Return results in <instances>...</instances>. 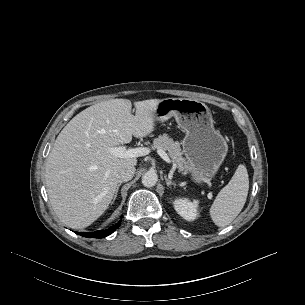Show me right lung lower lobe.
Masks as SVG:
<instances>
[{"mask_svg":"<svg viewBox=\"0 0 305 305\" xmlns=\"http://www.w3.org/2000/svg\"><path fill=\"white\" fill-rule=\"evenodd\" d=\"M121 224V221L116 223L114 226L107 230L95 231V232H82L80 233L81 236L88 237V238H104L111 233H113ZM79 234V233H77Z\"/></svg>","mask_w":305,"mask_h":305,"instance_id":"1","label":"right lung lower lobe"}]
</instances>
